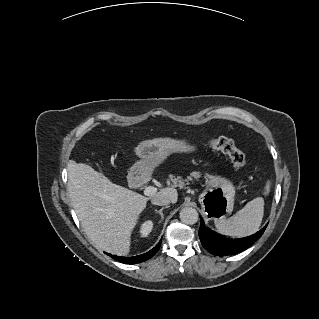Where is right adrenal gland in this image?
I'll return each instance as SVG.
<instances>
[{
  "instance_id": "obj_1",
  "label": "right adrenal gland",
  "mask_w": 319,
  "mask_h": 319,
  "mask_svg": "<svg viewBox=\"0 0 319 319\" xmlns=\"http://www.w3.org/2000/svg\"><path fill=\"white\" fill-rule=\"evenodd\" d=\"M165 208H166V207H163V208H161L160 210L155 209V211H156L157 213H159L160 215L163 216V210H164Z\"/></svg>"
}]
</instances>
